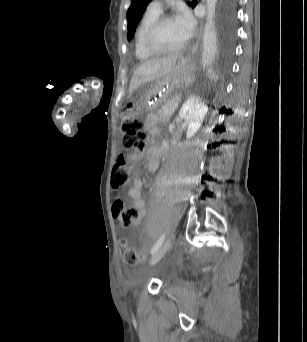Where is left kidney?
Masks as SVG:
<instances>
[{
  "mask_svg": "<svg viewBox=\"0 0 307 342\" xmlns=\"http://www.w3.org/2000/svg\"><path fill=\"white\" fill-rule=\"evenodd\" d=\"M208 112V108L204 102H201L197 96H191L186 102H184L180 112L179 118L184 120L185 124H188V130L186 132L187 140L193 138L199 128L202 126V122Z\"/></svg>",
  "mask_w": 307,
  "mask_h": 342,
  "instance_id": "5707ae66",
  "label": "left kidney"
}]
</instances>
